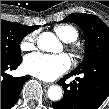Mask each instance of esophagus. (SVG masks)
Masks as SVG:
<instances>
[{
    "mask_svg": "<svg viewBox=\"0 0 109 109\" xmlns=\"http://www.w3.org/2000/svg\"><path fill=\"white\" fill-rule=\"evenodd\" d=\"M51 84L50 83H43L44 87H49Z\"/></svg>",
    "mask_w": 109,
    "mask_h": 109,
    "instance_id": "esophagus-1",
    "label": "esophagus"
}]
</instances>
